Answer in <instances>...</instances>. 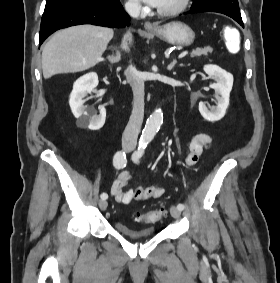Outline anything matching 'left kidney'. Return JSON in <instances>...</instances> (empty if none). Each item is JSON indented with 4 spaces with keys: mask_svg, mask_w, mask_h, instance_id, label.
<instances>
[{
    "mask_svg": "<svg viewBox=\"0 0 280 283\" xmlns=\"http://www.w3.org/2000/svg\"><path fill=\"white\" fill-rule=\"evenodd\" d=\"M203 70L209 78L216 81V83L211 84L210 87L215 90L217 106L209 109L203 102H200L199 112L207 121L215 122L224 117L226 109L229 106L233 76L216 65H205Z\"/></svg>",
    "mask_w": 280,
    "mask_h": 283,
    "instance_id": "obj_1",
    "label": "left kidney"
}]
</instances>
